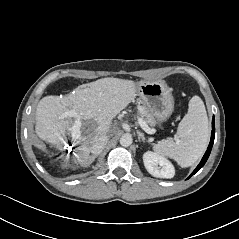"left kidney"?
<instances>
[{"label":"left kidney","mask_w":239,"mask_h":239,"mask_svg":"<svg viewBox=\"0 0 239 239\" xmlns=\"http://www.w3.org/2000/svg\"><path fill=\"white\" fill-rule=\"evenodd\" d=\"M143 162L146 170L154 177L172 178L175 175V169L171 162L151 151L144 153Z\"/></svg>","instance_id":"obj_1"}]
</instances>
